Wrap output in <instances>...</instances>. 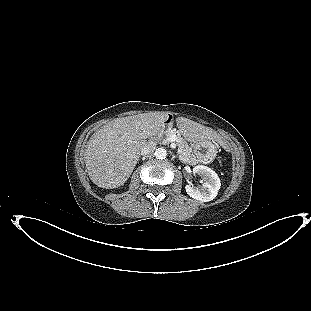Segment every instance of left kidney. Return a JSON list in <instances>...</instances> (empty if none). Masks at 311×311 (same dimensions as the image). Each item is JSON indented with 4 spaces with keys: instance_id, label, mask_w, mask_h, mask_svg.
<instances>
[{
    "instance_id": "5707ae66",
    "label": "left kidney",
    "mask_w": 311,
    "mask_h": 311,
    "mask_svg": "<svg viewBox=\"0 0 311 311\" xmlns=\"http://www.w3.org/2000/svg\"><path fill=\"white\" fill-rule=\"evenodd\" d=\"M193 172L202 177L203 184L202 186L186 185L185 189L187 194L201 202L213 200L217 196L221 186L218 175L211 168L203 165L194 167Z\"/></svg>"
}]
</instances>
